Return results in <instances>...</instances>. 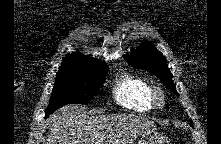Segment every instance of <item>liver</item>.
<instances>
[{"mask_svg":"<svg viewBox=\"0 0 221 144\" xmlns=\"http://www.w3.org/2000/svg\"><path fill=\"white\" fill-rule=\"evenodd\" d=\"M86 107L66 105L47 119V144H133L148 131L156 130L150 119L118 113L93 116Z\"/></svg>","mask_w":221,"mask_h":144,"instance_id":"6515ba94","label":"liver"}]
</instances>
